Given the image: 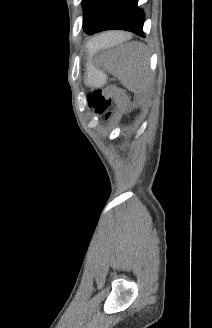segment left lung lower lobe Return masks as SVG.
Wrapping results in <instances>:
<instances>
[{
  "label": "left lung lower lobe",
  "mask_w": 212,
  "mask_h": 328,
  "mask_svg": "<svg viewBox=\"0 0 212 328\" xmlns=\"http://www.w3.org/2000/svg\"><path fill=\"white\" fill-rule=\"evenodd\" d=\"M138 0H106L88 35L105 30H126L145 37V14L137 6Z\"/></svg>",
  "instance_id": "0a47b994"
}]
</instances>
